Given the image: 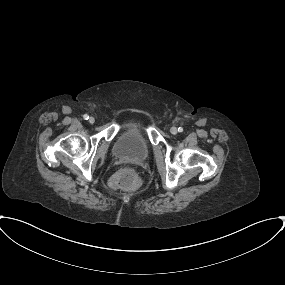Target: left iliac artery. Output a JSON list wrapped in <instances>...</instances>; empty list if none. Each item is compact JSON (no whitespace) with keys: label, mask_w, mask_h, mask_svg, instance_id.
<instances>
[{"label":"left iliac artery","mask_w":285,"mask_h":285,"mask_svg":"<svg viewBox=\"0 0 285 285\" xmlns=\"http://www.w3.org/2000/svg\"><path fill=\"white\" fill-rule=\"evenodd\" d=\"M178 132H183V128H182V127H179V128H178Z\"/></svg>","instance_id":"obj_1"}]
</instances>
